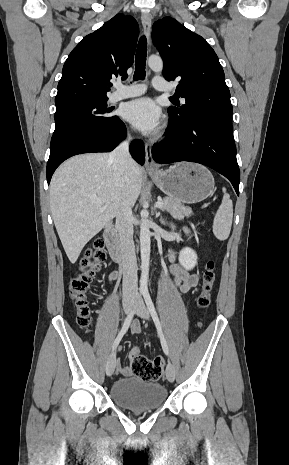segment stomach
I'll use <instances>...</instances> for the list:
<instances>
[{
	"label": "stomach",
	"mask_w": 289,
	"mask_h": 465,
	"mask_svg": "<svg viewBox=\"0 0 289 465\" xmlns=\"http://www.w3.org/2000/svg\"><path fill=\"white\" fill-rule=\"evenodd\" d=\"M154 183L170 198L194 204L205 200L214 189V178L203 165L189 162L174 164L167 170L150 173Z\"/></svg>",
	"instance_id": "stomach-1"
}]
</instances>
